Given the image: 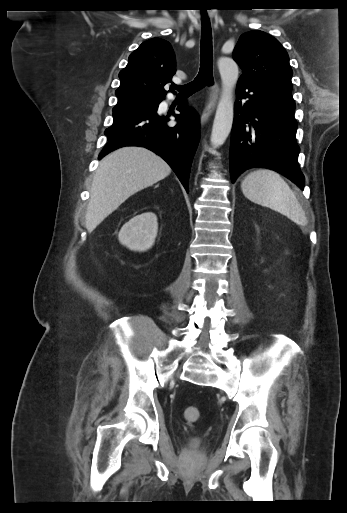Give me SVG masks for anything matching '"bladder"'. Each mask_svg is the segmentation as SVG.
Instances as JSON below:
<instances>
[{
	"instance_id": "31cf9c89",
	"label": "bladder",
	"mask_w": 347,
	"mask_h": 513,
	"mask_svg": "<svg viewBox=\"0 0 347 513\" xmlns=\"http://www.w3.org/2000/svg\"><path fill=\"white\" fill-rule=\"evenodd\" d=\"M203 445V440L200 437H193L188 442V448L190 450H199Z\"/></svg>"
}]
</instances>
